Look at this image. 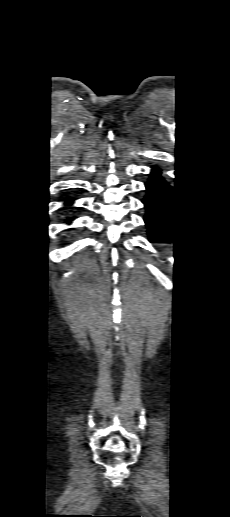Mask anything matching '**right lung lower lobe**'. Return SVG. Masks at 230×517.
Wrapping results in <instances>:
<instances>
[{"mask_svg":"<svg viewBox=\"0 0 230 517\" xmlns=\"http://www.w3.org/2000/svg\"><path fill=\"white\" fill-rule=\"evenodd\" d=\"M66 202H67L66 204H71L73 202V200H67ZM70 221H71V219L67 220V222H70Z\"/></svg>","mask_w":230,"mask_h":517,"instance_id":"right-lung-lower-lobe-1","label":"right lung lower lobe"}]
</instances>
